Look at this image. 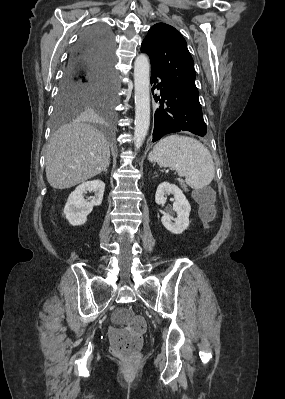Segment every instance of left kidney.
Here are the masks:
<instances>
[{
  "instance_id": "1",
  "label": "left kidney",
  "mask_w": 285,
  "mask_h": 399,
  "mask_svg": "<svg viewBox=\"0 0 285 399\" xmlns=\"http://www.w3.org/2000/svg\"><path fill=\"white\" fill-rule=\"evenodd\" d=\"M172 194L174 196L173 210L177 213L175 222L171 221L169 214H164L161 218L163 226L173 234H181L189 226V215L191 206L183 194L182 190L176 185L168 182L161 183L155 194V202L158 205L164 206L166 203L165 196Z\"/></svg>"
}]
</instances>
